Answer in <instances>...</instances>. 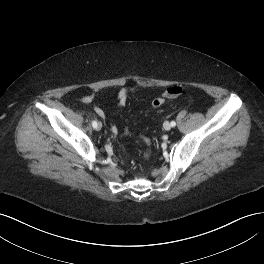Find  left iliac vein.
Masks as SVG:
<instances>
[{"instance_id":"obj_1","label":"left iliac vein","mask_w":264,"mask_h":264,"mask_svg":"<svg viewBox=\"0 0 264 264\" xmlns=\"http://www.w3.org/2000/svg\"><path fill=\"white\" fill-rule=\"evenodd\" d=\"M163 127L165 130L169 131L172 126L168 121H166V122H164Z\"/></svg>"}]
</instances>
